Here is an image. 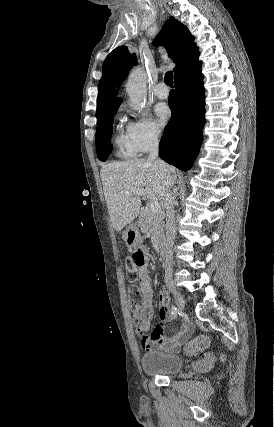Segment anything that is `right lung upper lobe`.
<instances>
[{
  "label": "right lung upper lobe",
  "mask_w": 274,
  "mask_h": 427,
  "mask_svg": "<svg viewBox=\"0 0 274 427\" xmlns=\"http://www.w3.org/2000/svg\"><path fill=\"white\" fill-rule=\"evenodd\" d=\"M164 44L169 57L176 63L175 78L191 67L201 63L198 61L199 51L194 37L188 28L174 17H170L161 32L153 41L154 46ZM137 64L135 54H130L126 46L114 49L105 59L102 78L98 85L97 113L121 102L115 97V87L119 86L128 71Z\"/></svg>",
  "instance_id": "1"
}]
</instances>
